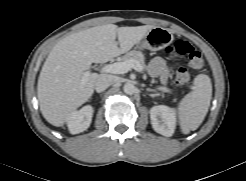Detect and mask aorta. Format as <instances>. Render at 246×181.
<instances>
[{"label":"aorta","instance_id":"1","mask_svg":"<svg viewBox=\"0 0 246 181\" xmlns=\"http://www.w3.org/2000/svg\"><path fill=\"white\" fill-rule=\"evenodd\" d=\"M123 91L126 94L132 95V94H134L136 92V87H135V85L133 83L127 82L123 86Z\"/></svg>","mask_w":246,"mask_h":181}]
</instances>
